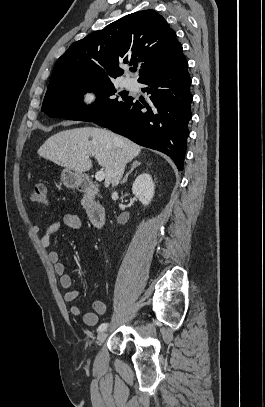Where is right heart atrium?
<instances>
[{"instance_id": "right-heart-atrium-1", "label": "right heart atrium", "mask_w": 265, "mask_h": 407, "mask_svg": "<svg viewBox=\"0 0 265 407\" xmlns=\"http://www.w3.org/2000/svg\"><path fill=\"white\" fill-rule=\"evenodd\" d=\"M102 101V91L96 87H86L80 91L77 98L79 108L84 112H92Z\"/></svg>"}]
</instances>
